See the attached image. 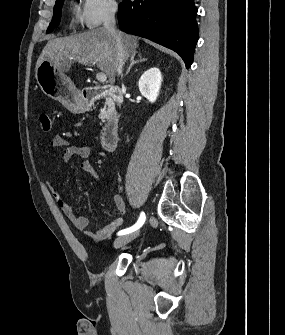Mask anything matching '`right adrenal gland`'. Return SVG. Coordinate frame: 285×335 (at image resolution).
I'll list each match as a JSON object with an SVG mask.
<instances>
[{
  "label": "right adrenal gland",
  "mask_w": 285,
  "mask_h": 335,
  "mask_svg": "<svg viewBox=\"0 0 285 335\" xmlns=\"http://www.w3.org/2000/svg\"><path fill=\"white\" fill-rule=\"evenodd\" d=\"M136 54H137V52H134V54H131V56H130V64H129V68L126 72V76H127V74H129V72H130L132 66H134V64H140V62H146V60H148V58H142L141 54H138L139 60H134Z\"/></svg>",
  "instance_id": "right-adrenal-gland-1"
}]
</instances>
